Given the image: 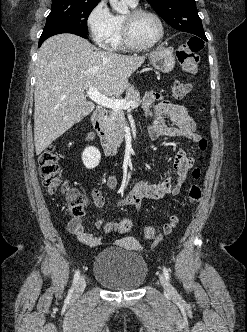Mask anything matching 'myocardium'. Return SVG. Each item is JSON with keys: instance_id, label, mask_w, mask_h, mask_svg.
<instances>
[{"instance_id": "obj_1", "label": "myocardium", "mask_w": 247, "mask_h": 332, "mask_svg": "<svg viewBox=\"0 0 247 332\" xmlns=\"http://www.w3.org/2000/svg\"><path fill=\"white\" fill-rule=\"evenodd\" d=\"M142 15H150L152 16L158 23L159 28H160V35L159 37L152 43L147 44V45H140L135 42L132 36V21ZM122 35H123V40L127 47L137 50V51H145L149 50L156 45H158L165 37V26L164 23L161 19V17L154 11L149 10V9H142V8H133L130 10L128 17H123L122 19Z\"/></svg>"}]
</instances>
